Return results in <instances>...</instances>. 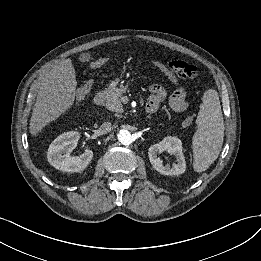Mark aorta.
<instances>
[{
    "instance_id": "1",
    "label": "aorta",
    "mask_w": 261,
    "mask_h": 261,
    "mask_svg": "<svg viewBox=\"0 0 261 261\" xmlns=\"http://www.w3.org/2000/svg\"><path fill=\"white\" fill-rule=\"evenodd\" d=\"M118 140L123 144V145H129L132 142V136L131 133L128 130H120L118 132Z\"/></svg>"
}]
</instances>
